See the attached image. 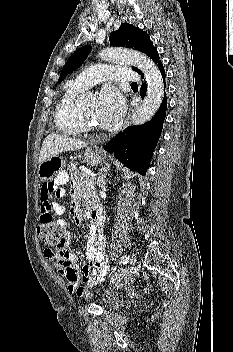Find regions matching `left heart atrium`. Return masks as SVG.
I'll return each mask as SVG.
<instances>
[{"mask_svg": "<svg viewBox=\"0 0 233 352\" xmlns=\"http://www.w3.org/2000/svg\"><path fill=\"white\" fill-rule=\"evenodd\" d=\"M125 110L123 96L113 87H105L95 106V118L98 124L108 128L121 118Z\"/></svg>", "mask_w": 233, "mask_h": 352, "instance_id": "39dd6f15", "label": "left heart atrium"}]
</instances>
